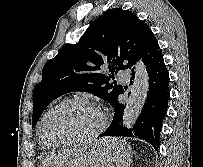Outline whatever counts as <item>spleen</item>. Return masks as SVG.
Returning a JSON list of instances; mask_svg holds the SVG:
<instances>
[{
    "label": "spleen",
    "mask_w": 203,
    "mask_h": 167,
    "mask_svg": "<svg viewBox=\"0 0 203 167\" xmlns=\"http://www.w3.org/2000/svg\"><path fill=\"white\" fill-rule=\"evenodd\" d=\"M120 151L124 153V156H127L126 160H122L121 158L118 157V167H128L129 163L131 162V159L129 158L131 155L129 154L131 152V148L127 146L126 144L122 145L120 147Z\"/></svg>",
    "instance_id": "spleen-1"
}]
</instances>
